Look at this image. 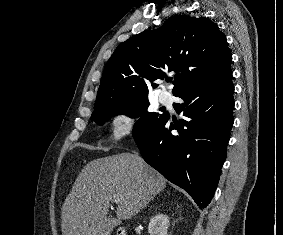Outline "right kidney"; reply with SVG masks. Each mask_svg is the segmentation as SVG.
Wrapping results in <instances>:
<instances>
[{"instance_id":"right-kidney-1","label":"right kidney","mask_w":283,"mask_h":235,"mask_svg":"<svg viewBox=\"0 0 283 235\" xmlns=\"http://www.w3.org/2000/svg\"><path fill=\"white\" fill-rule=\"evenodd\" d=\"M169 227V218L164 214H157L151 218L148 225L150 235H167Z\"/></svg>"}]
</instances>
